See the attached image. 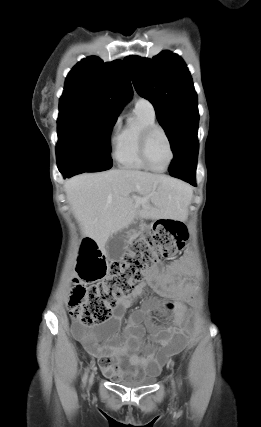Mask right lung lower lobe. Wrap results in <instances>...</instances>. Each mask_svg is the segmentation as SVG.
Listing matches in <instances>:
<instances>
[{
    "label": "right lung lower lobe",
    "instance_id": "98d812e1",
    "mask_svg": "<svg viewBox=\"0 0 261 427\" xmlns=\"http://www.w3.org/2000/svg\"><path fill=\"white\" fill-rule=\"evenodd\" d=\"M83 172H89V171H87L85 169H66V170L61 171V173L64 175L65 178H70L76 174H80Z\"/></svg>",
    "mask_w": 261,
    "mask_h": 427
}]
</instances>
